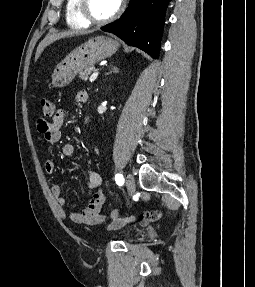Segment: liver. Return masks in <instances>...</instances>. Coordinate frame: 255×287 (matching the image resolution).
Returning a JSON list of instances; mask_svg holds the SVG:
<instances>
[{"label": "liver", "mask_w": 255, "mask_h": 287, "mask_svg": "<svg viewBox=\"0 0 255 287\" xmlns=\"http://www.w3.org/2000/svg\"><path fill=\"white\" fill-rule=\"evenodd\" d=\"M94 30H87V32H81V34H92ZM79 32H76V30H69V32H61V34H48L42 42H40L37 50H36V56H35V62L39 60L40 54L44 52L46 46H50V44H53V42H56V40H61V38H72V36H78Z\"/></svg>", "instance_id": "liver-1"}]
</instances>
